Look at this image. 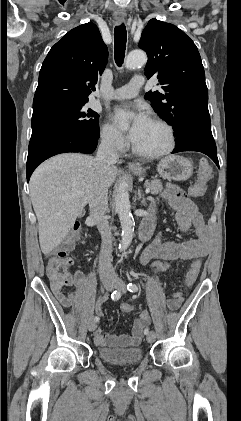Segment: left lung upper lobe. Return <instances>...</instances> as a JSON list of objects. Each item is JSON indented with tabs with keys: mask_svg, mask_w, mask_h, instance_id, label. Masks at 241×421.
I'll list each match as a JSON object with an SVG mask.
<instances>
[{
	"mask_svg": "<svg viewBox=\"0 0 241 421\" xmlns=\"http://www.w3.org/2000/svg\"><path fill=\"white\" fill-rule=\"evenodd\" d=\"M138 46L148 55L145 75L157 77L162 88L149 91L145 98L172 125L175 140L197 123L210 121L204 68L194 42L178 27L151 19Z\"/></svg>",
	"mask_w": 241,
	"mask_h": 421,
	"instance_id": "left-lung-upper-lobe-1",
	"label": "left lung upper lobe"
}]
</instances>
